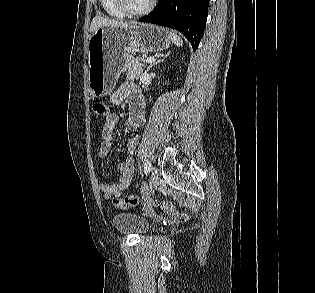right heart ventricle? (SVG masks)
<instances>
[{
	"label": "right heart ventricle",
	"mask_w": 315,
	"mask_h": 293,
	"mask_svg": "<svg viewBox=\"0 0 315 293\" xmlns=\"http://www.w3.org/2000/svg\"><path fill=\"white\" fill-rule=\"evenodd\" d=\"M100 3L103 11L108 16L116 19H123L126 17V15L117 8L114 0H100Z\"/></svg>",
	"instance_id": "obj_1"
}]
</instances>
